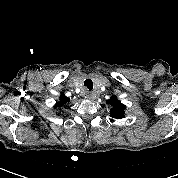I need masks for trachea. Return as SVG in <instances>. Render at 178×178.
Here are the masks:
<instances>
[{
	"label": "trachea",
	"mask_w": 178,
	"mask_h": 178,
	"mask_svg": "<svg viewBox=\"0 0 178 178\" xmlns=\"http://www.w3.org/2000/svg\"><path fill=\"white\" fill-rule=\"evenodd\" d=\"M84 85L88 90L93 89V82H92L91 79H86L85 82H84Z\"/></svg>",
	"instance_id": "1"
}]
</instances>
